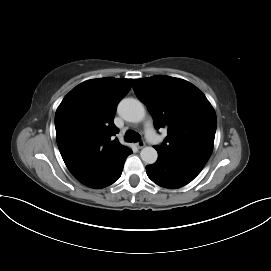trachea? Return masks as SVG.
<instances>
[{
  "mask_svg": "<svg viewBox=\"0 0 271 271\" xmlns=\"http://www.w3.org/2000/svg\"><path fill=\"white\" fill-rule=\"evenodd\" d=\"M140 140V135L133 131V130H128L125 134V141L126 142H138Z\"/></svg>",
  "mask_w": 271,
  "mask_h": 271,
  "instance_id": "obj_1",
  "label": "trachea"
}]
</instances>
